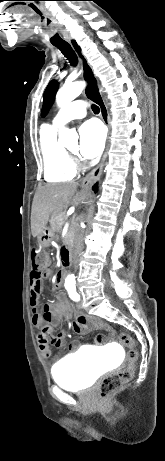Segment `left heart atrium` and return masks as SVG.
<instances>
[{
	"label": "left heart atrium",
	"mask_w": 165,
	"mask_h": 461,
	"mask_svg": "<svg viewBox=\"0 0 165 461\" xmlns=\"http://www.w3.org/2000/svg\"><path fill=\"white\" fill-rule=\"evenodd\" d=\"M80 152L87 158L98 156L105 145V130L97 121H87L79 129Z\"/></svg>",
	"instance_id": "39dd6f15"
}]
</instances>
